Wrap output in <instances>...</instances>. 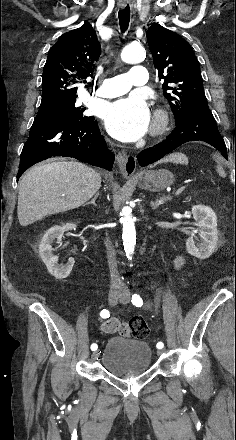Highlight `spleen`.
Instances as JSON below:
<instances>
[{"mask_svg":"<svg viewBox=\"0 0 236 440\" xmlns=\"http://www.w3.org/2000/svg\"><path fill=\"white\" fill-rule=\"evenodd\" d=\"M217 171H218L220 176L225 177L226 174H225V172H224V170L222 169L221 166H217Z\"/></svg>","mask_w":236,"mask_h":440,"instance_id":"3e777b00","label":"spleen"}]
</instances>
